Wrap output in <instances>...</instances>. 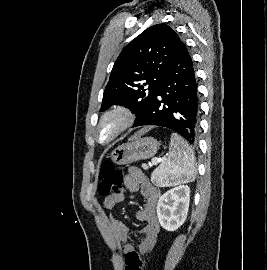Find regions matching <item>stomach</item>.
Here are the masks:
<instances>
[{"label": "stomach", "mask_w": 267, "mask_h": 270, "mask_svg": "<svg viewBox=\"0 0 267 270\" xmlns=\"http://www.w3.org/2000/svg\"><path fill=\"white\" fill-rule=\"evenodd\" d=\"M159 146L160 143L153 137H138L114 149L111 158L116 164H129L153 157Z\"/></svg>", "instance_id": "0dacf381"}]
</instances>
